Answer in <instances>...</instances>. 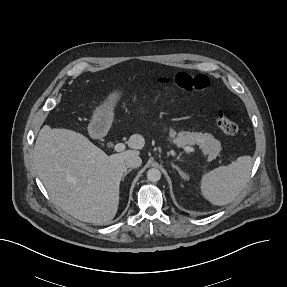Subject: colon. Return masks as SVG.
<instances>
[{"label": "colon", "mask_w": 287, "mask_h": 287, "mask_svg": "<svg viewBox=\"0 0 287 287\" xmlns=\"http://www.w3.org/2000/svg\"><path fill=\"white\" fill-rule=\"evenodd\" d=\"M158 80L164 83L169 81L167 77H160ZM173 81L179 88L196 92H202L209 86V78L204 74L180 72L174 76ZM216 125L222 132L228 135H235L239 131L238 124L225 111L218 112Z\"/></svg>", "instance_id": "obj_1"}]
</instances>
